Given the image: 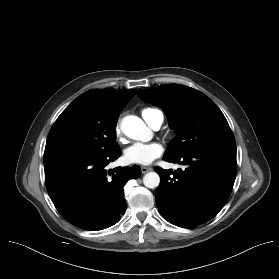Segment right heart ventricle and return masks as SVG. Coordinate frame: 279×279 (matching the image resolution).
<instances>
[{
    "label": "right heart ventricle",
    "instance_id": "e07e8e85",
    "mask_svg": "<svg viewBox=\"0 0 279 279\" xmlns=\"http://www.w3.org/2000/svg\"><path fill=\"white\" fill-rule=\"evenodd\" d=\"M157 110L151 109V108H146L142 111V116L146 120L147 123H149V117L156 112Z\"/></svg>",
    "mask_w": 279,
    "mask_h": 279
}]
</instances>
